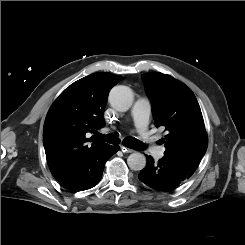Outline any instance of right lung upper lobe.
Listing matches in <instances>:
<instances>
[{
  "label": "right lung upper lobe",
  "instance_id": "cb5924a9",
  "mask_svg": "<svg viewBox=\"0 0 245 245\" xmlns=\"http://www.w3.org/2000/svg\"><path fill=\"white\" fill-rule=\"evenodd\" d=\"M121 80L111 73H94L67 87L50 107L43 128V144L55 179L109 145L89 133L105 126L104 109L109 90Z\"/></svg>",
  "mask_w": 245,
  "mask_h": 245
}]
</instances>
